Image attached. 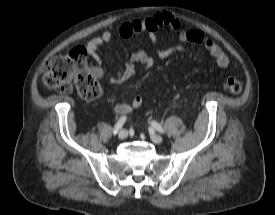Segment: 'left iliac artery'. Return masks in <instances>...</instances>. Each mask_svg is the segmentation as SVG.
<instances>
[{
	"mask_svg": "<svg viewBox=\"0 0 275 215\" xmlns=\"http://www.w3.org/2000/svg\"><path fill=\"white\" fill-rule=\"evenodd\" d=\"M151 126H152L155 130H157L158 132L164 133V129H163L162 126H161L160 124H158L157 122L152 121V122H151Z\"/></svg>",
	"mask_w": 275,
	"mask_h": 215,
	"instance_id": "1",
	"label": "left iliac artery"
}]
</instances>
